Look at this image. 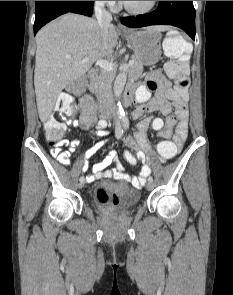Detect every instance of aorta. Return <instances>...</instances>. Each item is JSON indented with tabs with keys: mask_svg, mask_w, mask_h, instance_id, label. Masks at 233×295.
I'll return each instance as SVG.
<instances>
[{
	"mask_svg": "<svg viewBox=\"0 0 233 295\" xmlns=\"http://www.w3.org/2000/svg\"><path fill=\"white\" fill-rule=\"evenodd\" d=\"M126 80H127L126 72H121L117 76L116 81H115V93H116L117 98H120V96H121V94L123 92ZM118 114L119 115L124 114V110H123V107L121 105V102H118Z\"/></svg>",
	"mask_w": 233,
	"mask_h": 295,
	"instance_id": "aorta-1",
	"label": "aorta"
}]
</instances>
